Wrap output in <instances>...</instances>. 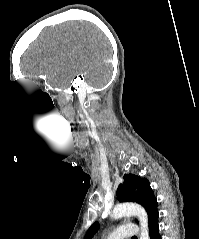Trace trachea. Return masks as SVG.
I'll use <instances>...</instances> for the list:
<instances>
[{"label": "trachea", "mask_w": 199, "mask_h": 239, "mask_svg": "<svg viewBox=\"0 0 199 239\" xmlns=\"http://www.w3.org/2000/svg\"><path fill=\"white\" fill-rule=\"evenodd\" d=\"M132 239H137V237H132Z\"/></svg>", "instance_id": "3493384b"}]
</instances>
